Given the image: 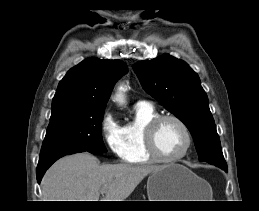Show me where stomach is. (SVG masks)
I'll list each match as a JSON object with an SVG mask.
<instances>
[{
	"mask_svg": "<svg viewBox=\"0 0 259 211\" xmlns=\"http://www.w3.org/2000/svg\"><path fill=\"white\" fill-rule=\"evenodd\" d=\"M209 184L180 164H168L152 172L147 181L149 201H205Z\"/></svg>",
	"mask_w": 259,
	"mask_h": 211,
	"instance_id": "stomach-1",
	"label": "stomach"
}]
</instances>
